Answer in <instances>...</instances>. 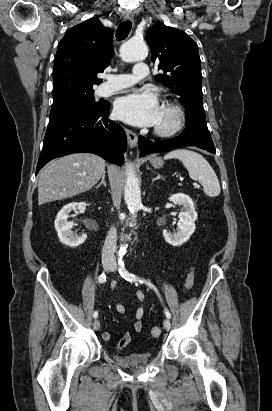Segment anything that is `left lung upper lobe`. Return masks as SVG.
Here are the masks:
<instances>
[{"label":"left lung upper lobe","mask_w":272,"mask_h":411,"mask_svg":"<svg viewBox=\"0 0 272 411\" xmlns=\"http://www.w3.org/2000/svg\"><path fill=\"white\" fill-rule=\"evenodd\" d=\"M146 40L152 61L163 71L155 79L179 96L186 126L206 125L197 44L185 32L163 24L150 28Z\"/></svg>","instance_id":"left-lung-upper-lobe-1"}]
</instances>
